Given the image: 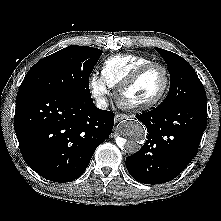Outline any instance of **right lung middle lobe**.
I'll use <instances>...</instances> for the list:
<instances>
[{"label":"right lung middle lobe","instance_id":"dd1d6c3e","mask_svg":"<svg viewBox=\"0 0 221 221\" xmlns=\"http://www.w3.org/2000/svg\"><path fill=\"white\" fill-rule=\"evenodd\" d=\"M101 54L97 48L68 46L38 61L26 74L19 90L91 97L89 76Z\"/></svg>","mask_w":221,"mask_h":221}]
</instances>
